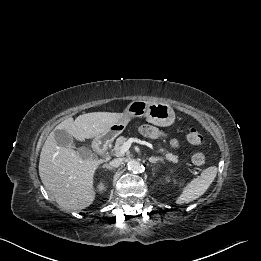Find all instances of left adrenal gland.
I'll use <instances>...</instances> for the list:
<instances>
[{"label":"left adrenal gland","mask_w":261,"mask_h":261,"mask_svg":"<svg viewBox=\"0 0 261 261\" xmlns=\"http://www.w3.org/2000/svg\"><path fill=\"white\" fill-rule=\"evenodd\" d=\"M149 162L153 163V164H156L158 161H163L161 158L159 157H150L149 159Z\"/></svg>","instance_id":"1"}]
</instances>
